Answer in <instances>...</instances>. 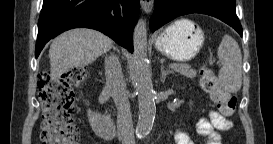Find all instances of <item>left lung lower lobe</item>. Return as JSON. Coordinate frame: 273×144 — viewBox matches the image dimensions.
Here are the masks:
<instances>
[{"mask_svg": "<svg viewBox=\"0 0 273 144\" xmlns=\"http://www.w3.org/2000/svg\"><path fill=\"white\" fill-rule=\"evenodd\" d=\"M190 13L214 16L233 27L242 36L235 0H155L150 30L153 32L174 18Z\"/></svg>", "mask_w": 273, "mask_h": 144, "instance_id": "obj_1", "label": "left lung lower lobe"}]
</instances>
